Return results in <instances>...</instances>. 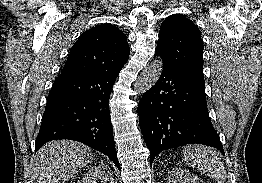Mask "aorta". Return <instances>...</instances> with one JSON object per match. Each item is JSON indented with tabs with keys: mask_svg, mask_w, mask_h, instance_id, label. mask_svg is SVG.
Wrapping results in <instances>:
<instances>
[{
	"mask_svg": "<svg viewBox=\"0 0 262 183\" xmlns=\"http://www.w3.org/2000/svg\"><path fill=\"white\" fill-rule=\"evenodd\" d=\"M163 62L161 59L151 61L141 72L134 84V89L138 93H144L155 85L161 76Z\"/></svg>",
	"mask_w": 262,
	"mask_h": 183,
	"instance_id": "aorta-1",
	"label": "aorta"
}]
</instances>
